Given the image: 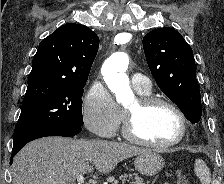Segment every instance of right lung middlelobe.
I'll return each instance as SVG.
<instances>
[{"label":"right lung middle lobe","mask_w":224,"mask_h":184,"mask_svg":"<svg viewBox=\"0 0 224 184\" xmlns=\"http://www.w3.org/2000/svg\"><path fill=\"white\" fill-rule=\"evenodd\" d=\"M82 84L36 83L28 85L14 139L24 132L48 126L81 127Z\"/></svg>","instance_id":"dd1d6c3e"}]
</instances>
